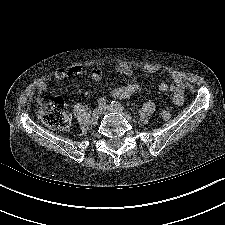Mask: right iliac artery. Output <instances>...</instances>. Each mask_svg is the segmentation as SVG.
<instances>
[{"label": "right iliac artery", "instance_id": "obj_1", "mask_svg": "<svg viewBox=\"0 0 225 225\" xmlns=\"http://www.w3.org/2000/svg\"><path fill=\"white\" fill-rule=\"evenodd\" d=\"M98 105H99V107L105 106V105H106V99L100 98V99L98 100Z\"/></svg>", "mask_w": 225, "mask_h": 225}]
</instances>
